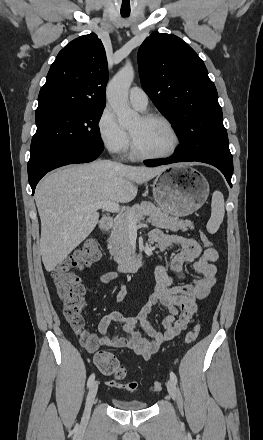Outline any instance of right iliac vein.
<instances>
[{
    "instance_id": "1",
    "label": "right iliac vein",
    "mask_w": 263,
    "mask_h": 440,
    "mask_svg": "<svg viewBox=\"0 0 263 440\" xmlns=\"http://www.w3.org/2000/svg\"><path fill=\"white\" fill-rule=\"evenodd\" d=\"M98 385H99L98 381H95V382H93V384L91 385V387L89 389L87 399H86L85 411H84V414L82 417V425L83 426H87L89 423L91 408H92V405H93L94 400L97 395Z\"/></svg>"
}]
</instances>
